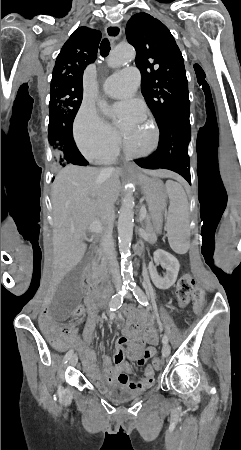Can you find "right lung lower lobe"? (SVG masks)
Segmentation results:
<instances>
[{
    "label": "right lung lower lobe",
    "mask_w": 241,
    "mask_h": 450,
    "mask_svg": "<svg viewBox=\"0 0 241 450\" xmlns=\"http://www.w3.org/2000/svg\"><path fill=\"white\" fill-rule=\"evenodd\" d=\"M66 150L68 153L69 162L74 165H88L89 163L85 160V158L81 155L76 144L74 142L73 136L64 137Z\"/></svg>",
    "instance_id": "right-lung-lower-lobe-1"
}]
</instances>
